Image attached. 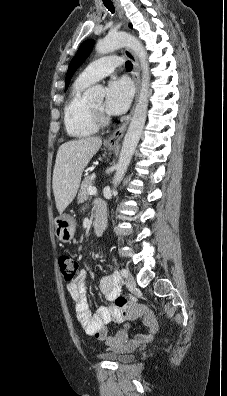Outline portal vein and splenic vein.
Listing matches in <instances>:
<instances>
[{"instance_id": "18ae733b", "label": "portal vein and splenic vein", "mask_w": 227, "mask_h": 396, "mask_svg": "<svg viewBox=\"0 0 227 396\" xmlns=\"http://www.w3.org/2000/svg\"><path fill=\"white\" fill-rule=\"evenodd\" d=\"M88 193L90 195H95L97 193V189L95 187L91 186L88 188Z\"/></svg>"}]
</instances>
